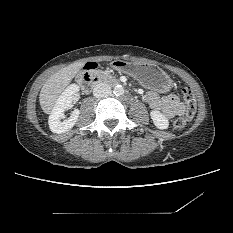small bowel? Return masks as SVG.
<instances>
[{"label": "small bowel", "instance_id": "c3829d8e", "mask_svg": "<svg viewBox=\"0 0 233 233\" xmlns=\"http://www.w3.org/2000/svg\"><path fill=\"white\" fill-rule=\"evenodd\" d=\"M91 64V63H89ZM143 100L155 110H159L166 118H171L176 114H184L185 105L177 95L170 94L160 97L155 91H148L143 95Z\"/></svg>", "mask_w": 233, "mask_h": 233}]
</instances>
